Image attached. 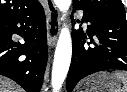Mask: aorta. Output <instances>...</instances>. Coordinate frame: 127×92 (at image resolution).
Instances as JSON below:
<instances>
[{
	"label": "aorta",
	"instance_id": "obj_1",
	"mask_svg": "<svg viewBox=\"0 0 127 92\" xmlns=\"http://www.w3.org/2000/svg\"><path fill=\"white\" fill-rule=\"evenodd\" d=\"M54 2L58 7V9L63 13L67 12V10L71 5V0H54ZM71 57H72L71 35L69 29L64 27L61 30L54 55L51 76V84L53 92H58L59 89L61 88L70 67Z\"/></svg>",
	"mask_w": 127,
	"mask_h": 92
}]
</instances>
